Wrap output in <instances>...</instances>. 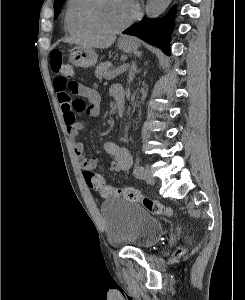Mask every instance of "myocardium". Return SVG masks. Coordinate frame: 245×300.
Here are the masks:
<instances>
[{"label": "myocardium", "mask_w": 245, "mask_h": 300, "mask_svg": "<svg viewBox=\"0 0 245 300\" xmlns=\"http://www.w3.org/2000/svg\"><path fill=\"white\" fill-rule=\"evenodd\" d=\"M99 1L100 0H87V4L83 12L85 23L96 33L108 34V35L120 33L126 28H128L138 17L139 14L138 9L137 7H135L132 17L126 23L116 28H112V29L106 28L97 21L95 16L96 7Z\"/></svg>", "instance_id": "f54148a6"}]
</instances>
